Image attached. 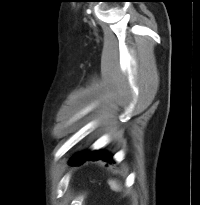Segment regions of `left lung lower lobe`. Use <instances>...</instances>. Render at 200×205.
I'll return each instance as SVG.
<instances>
[{"label":"left lung lower lobe","instance_id":"0a47b994","mask_svg":"<svg viewBox=\"0 0 200 205\" xmlns=\"http://www.w3.org/2000/svg\"><path fill=\"white\" fill-rule=\"evenodd\" d=\"M90 160L93 161L103 160V161L113 162L112 158L109 155L105 153H101L99 151H93V152H86V153L76 155L70 162V165L76 166L84 163L85 161H90Z\"/></svg>","mask_w":200,"mask_h":205}]
</instances>
